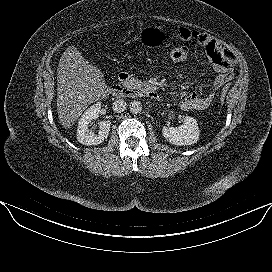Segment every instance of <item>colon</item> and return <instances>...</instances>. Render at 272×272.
I'll use <instances>...</instances> for the list:
<instances>
[{"instance_id":"obj_1","label":"colon","mask_w":272,"mask_h":272,"mask_svg":"<svg viewBox=\"0 0 272 272\" xmlns=\"http://www.w3.org/2000/svg\"><path fill=\"white\" fill-rule=\"evenodd\" d=\"M168 57L173 61V62H185L189 59L190 57V52L189 49L185 46H173L169 49L168 51ZM230 89V86H226L222 89L221 94L219 96V103L223 104L224 99Z\"/></svg>"}]
</instances>
